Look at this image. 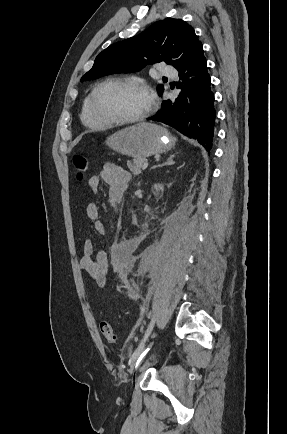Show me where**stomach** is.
Listing matches in <instances>:
<instances>
[{
	"mask_svg": "<svg viewBox=\"0 0 287 434\" xmlns=\"http://www.w3.org/2000/svg\"><path fill=\"white\" fill-rule=\"evenodd\" d=\"M105 143L120 154L138 159L171 150L175 140L165 128L141 122L115 132Z\"/></svg>",
	"mask_w": 287,
	"mask_h": 434,
	"instance_id": "obj_1",
	"label": "stomach"
}]
</instances>
